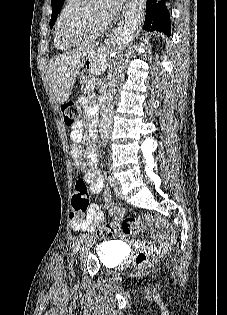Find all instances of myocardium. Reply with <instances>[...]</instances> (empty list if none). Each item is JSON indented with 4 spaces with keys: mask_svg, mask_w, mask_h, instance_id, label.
I'll list each match as a JSON object with an SVG mask.
<instances>
[{
    "mask_svg": "<svg viewBox=\"0 0 227 315\" xmlns=\"http://www.w3.org/2000/svg\"><path fill=\"white\" fill-rule=\"evenodd\" d=\"M90 0H78L68 14L63 19L60 25V36L65 44L75 46L87 40L96 38L106 30L107 25L104 24L96 30L79 29L78 32H73L72 27L77 24L82 17Z\"/></svg>",
    "mask_w": 227,
    "mask_h": 315,
    "instance_id": "myocardium-1",
    "label": "myocardium"
}]
</instances>
